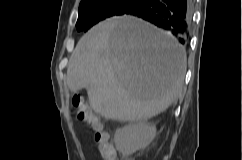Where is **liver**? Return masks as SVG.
Listing matches in <instances>:
<instances>
[{
	"label": "liver",
	"mask_w": 242,
	"mask_h": 160,
	"mask_svg": "<svg viewBox=\"0 0 242 160\" xmlns=\"http://www.w3.org/2000/svg\"><path fill=\"white\" fill-rule=\"evenodd\" d=\"M186 52L171 35L132 16L109 18L77 43L67 85L85 88L95 113L143 122L165 111L180 95Z\"/></svg>",
	"instance_id": "liver-1"
}]
</instances>
